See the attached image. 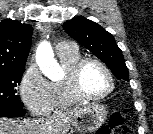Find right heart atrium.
<instances>
[{
    "instance_id": "1",
    "label": "right heart atrium",
    "mask_w": 153,
    "mask_h": 134,
    "mask_svg": "<svg viewBox=\"0 0 153 134\" xmlns=\"http://www.w3.org/2000/svg\"><path fill=\"white\" fill-rule=\"evenodd\" d=\"M21 99L33 116H44L51 111V87L39 69L30 64L20 82Z\"/></svg>"
}]
</instances>
